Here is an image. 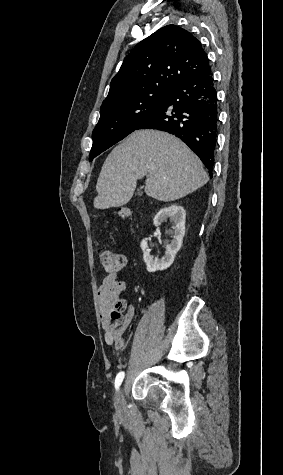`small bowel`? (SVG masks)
<instances>
[{"instance_id": "c3829d8e", "label": "small bowel", "mask_w": 283, "mask_h": 475, "mask_svg": "<svg viewBox=\"0 0 283 475\" xmlns=\"http://www.w3.org/2000/svg\"><path fill=\"white\" fill-rule=\"evenodd\" d=\"M126 286L113 274L107 275L97 288V303L105 343L116 350L124 346L123 332L134 317V307L130 305L121 318L120 311H114L116 302L121 298Z\"/></svg>"}]
</instances>
